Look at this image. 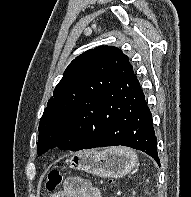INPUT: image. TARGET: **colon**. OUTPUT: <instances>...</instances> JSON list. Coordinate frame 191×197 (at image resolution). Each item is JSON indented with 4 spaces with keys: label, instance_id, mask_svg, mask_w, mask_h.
<instances>
[{
    "label": "colon",
    "instance_id": "colon-1",
    "mask_svg": "<svg viewBox=\"0 0 191 197\" xmlns=\"http://www.w3.org/2000/svg\"><path fill=\"white\" fill-rule=\"evenodd\" d=\"M62 179L63 177L60 171L58 170L50 171L45 184L46 189L50 192L55 191L58 188V186L61 184Z\"/></svg>",
    "mask_w": 191,
    "mask_h": 197
}]
</instances>
